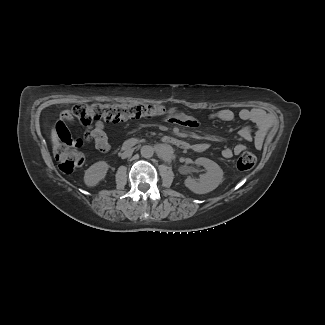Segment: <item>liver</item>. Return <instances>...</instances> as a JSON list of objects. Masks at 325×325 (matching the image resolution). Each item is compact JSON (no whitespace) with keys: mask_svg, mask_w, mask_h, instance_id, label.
Here are the masks:
<instances>
[{"mask_svg":"<svg viewBox=\"0 0 325 325\" xmlns=\"http://www.w3.org/2000/svg\"><path fill=\"white\" fill-rule=\"evenodd\" d=\"M51 140H52L54 147L59 146V140H58V136H57L55 129H52V131H51Z\"/></svg>","mask_w":325,"mask_h":325,"instance_id":"obj_1","label":"liver"}]
</instances>
